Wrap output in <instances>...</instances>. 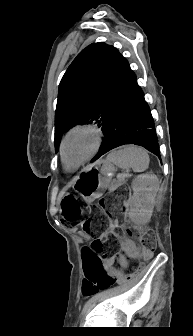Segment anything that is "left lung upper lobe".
<instances>
[{
	"mask_svg": "<svg viewBox=\"0 0 193 336\" xmlns=\"http://www.w3.org/2000/svg\"><path fill=\"white\" fill-rule=\"evenodd\" d=\"M127 60L103 42L82 50L64 74L55 113V148L75 125L102 126L121 87Z\"/></svg>",
	"mask_w": 193,
	"mask_h": 336,
	"instance_id": "1",
	"label": "left lung upper lobe"
}]
</instances>
